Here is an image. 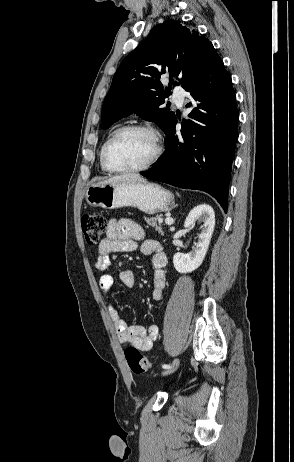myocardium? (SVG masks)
<instances>
[{
	"label": "myocardium",
	"mask_w": 294,
	"mask_h": 462,
	"mask_svg": "<svg viewBox=\"0 0 294 462\" xmlns=\"http://www.w3.org/2000/svg\"><path fill=\"white\" fill-rule=\"evenodd\" d=\"M133 130H138V131H143L148 133L154 141V152L151 155V157L142 165L133 167V168H115L111 166L108 160V153L111 145L115 142V140L120 137L122 134H124L127 131H133ZM163 151V146L161 142V137L159 133L151 126L146 125V124H140V123H133V124H127L124 125L117 130L113 132V134L107 139L105 142L102 153H101V160H102V165L105 168L106 171L112 172V173H137V172H142L147 169H149L151 166H153L157 160L160 158L161 154Z\"/></svg>",
	"instance_id": "f54148a6"
}]
</instances>
